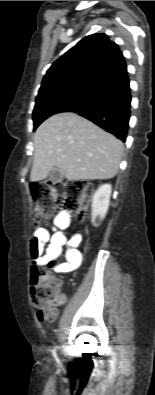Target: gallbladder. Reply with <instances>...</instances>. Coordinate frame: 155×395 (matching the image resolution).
I'll list each match as a JSON object with an SVG mask.
<instances>
[{"mask_svg":"<svg viewBox=\"0 0 155 395\" xmlns=\"http://www.w3.org/2000/svg\"><path fill=\"white\" fill-rule=\"evenodd\" d=\"M63 178H64L63 172L57 167H54L48 175V180L51 181L52 183H59L63 180Z\"/></svg>","mask_w":155,"mask_h":395,"instance_id":"gallbladder-1","label":"gallbladder"}]
</instances>
